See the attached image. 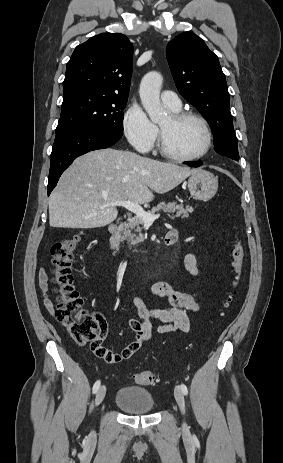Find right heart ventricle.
I'll list each match as a JSON object with an SVG mask.
<instances>
[{"label":"right heart ventricle","mask_w":283,"mask_h":463,"mask_svg":"<svg viewBox=\"0 0 283 463\" xmlns=\"http://www.w3.org/2000/svg\"><path fill=\"white\" fill-rule=\"evenodd\" d=\"M169 109H170V108H169ZM170 110H171L172 112H178V111H179V109H176V110L170 109Z\"/></svg>","instance_id":"1"}]
</instances>
